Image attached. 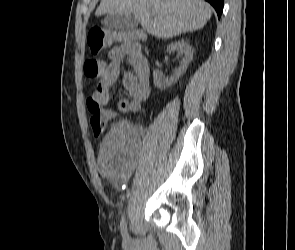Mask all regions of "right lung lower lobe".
<instances>
[{
  "label": "right lung lower lobe",
  "mask_w": 295,
  "mask_h": 250,
  "mask_svg": "<svg viewBox=\"0 0 295 250\" xmlns=\"http://www.w3.org/2000/svg\"><path fill=\"white\" fill-rule=\"evenodd\" d=\"M206 1L209 2L215 8L218 14V18H220L222 14V10H223L224 0H206Z\"/></svg>",
  "instance_id": "1"
}]
</instances>
